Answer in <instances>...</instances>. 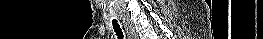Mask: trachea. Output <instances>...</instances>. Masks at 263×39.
<instances>
[{
    "mask_svg": "<svg viewBox=\"0 0 263 39\" xmlns=\"http://www.w3.org/2000/svg\"><path fill=\"white\" fill-rule=\"evenodd\" d=\"M112 24H113V29H114L117 37L119 39H123L124 36H123L122 30H121L120 25L118 24L117 20L116 19L112 20Z\"/></svg>",
    "mask_w": 263,
    "mask_h": 39,
    "instance_id": "3493384b",
    "label": "trachea"
}]
</instances>
